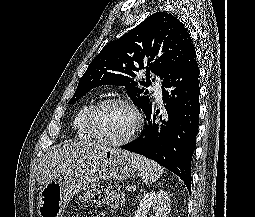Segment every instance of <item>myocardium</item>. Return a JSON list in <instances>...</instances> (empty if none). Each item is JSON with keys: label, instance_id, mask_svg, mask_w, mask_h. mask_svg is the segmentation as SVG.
<instances>
[{"label": "myocardium", "instance_id": "f54148a6", "mask_svg": "<svg viewBox=\"0 0 255 217\" xmlns=\"http://www.w3.org/2000/svg\"><path fill=\"white\" fill-rule=\"evenodd\" d=\"M108 105H122L127 108H129L134 116H135V125L132 128V130L126 135L125 137L118 139V140H111L106 137H104L99 130L97 129L95 125V116L97 112L102 109L103 107H106ZM86 123L89 131L92 133V135L101 141L102 143L110 146H122L125 144H128L131 142L136 135L139 133L143 126V117L139 111V109L128 99L125 98H119V97H113V98H106L102 99L95 104H93L90 109L87 112L86 115Z\"/></svg>", "mask_w": 255, "mask_h": 217}]
</instances>
